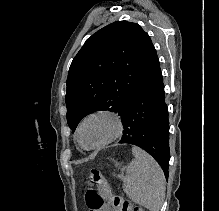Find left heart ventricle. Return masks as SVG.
<instances>
[{"label": "left heart ventricle", "instance_id": "obj_1", "mask_svg": "<svg viewBox=\"0 0 219 211\" xmlns=\"http://www.w3.org/2000/svg\"><path fill=\"white\" fill-rule=\"evenodd\" d=\"M113 122L104 116L90 118L81 130V142L85 147H92L103 142L112 132Z\"/></svg>", "mask_w": 219, "mask_h": 211}]
</instances>
